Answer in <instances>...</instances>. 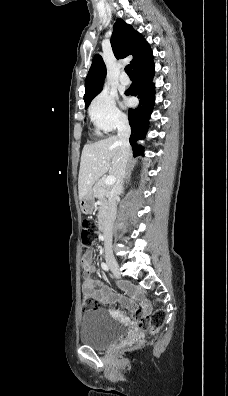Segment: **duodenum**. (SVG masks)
Returning <instances> with one entry per match:
<instances>
[{
    "mask_svg": "<svg viewBox=\"0 0 228 396\" xmlns=\"http://www.w3.org/2000/svg\"><path fill=\"white\" fill-rule=\"evenodd\" d=\"M99 229L104 235L107 233L108 228H107V221L105 218H101L99 220Z\"/></svg>",
    "mask_w": 228,
    "mask_h": 396,
    "instance_id": "obj_1",
    "label": "duodenum"
}]
</instances>
